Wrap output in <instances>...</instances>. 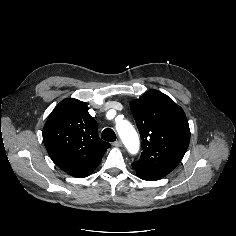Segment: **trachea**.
<instances>
[{"mask_svg":"<svg viewBox=\"0 0 236 236\" xmlns=\"http://www.w3.org/2000/svg\"><path fill=\"white\" fill-rule=\"evenodd\" d=\"M101 138L108 142H113L116 140V134L111 128H106L101 134Z\"/></svg>","mask_w":236,"mask_h":236,"instance_id":"trachea-1","label":"trachea"}]
</instances>
